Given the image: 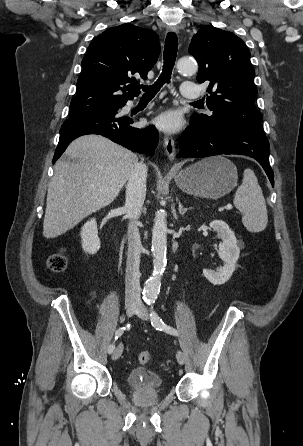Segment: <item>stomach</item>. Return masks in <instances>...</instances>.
Listing matches in <instances>:
<instances>
[{"mask_svg": "<svg viewBox=\"0 0 303 446\" xmlns=\"http://www.w3.org/2000/svg\"><path fill=\"white\" fill-rule=\"evenodd\" d=\"M237 179V167L223 156L202 159L175 175V182L182 191L210 199L231 192Z\"/></svg>", "mask_w": 303, "mask_h": 446, "instance_id": "0dacf381", "label": "stomach"}]
</instances>
